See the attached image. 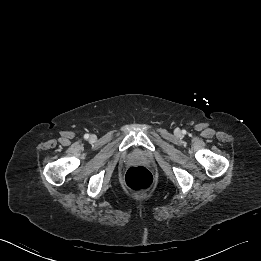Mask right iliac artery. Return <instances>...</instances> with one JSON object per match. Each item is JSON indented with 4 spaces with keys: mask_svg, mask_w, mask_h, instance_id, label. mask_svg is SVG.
<instances>
[{
    "mask_svg": "<svg viewBox=\"0 0 261 261\" xmlns=\"http://www.w3.org/2000/svg\"><path fill=\"white\" fill-rule=\"evenodd\" d=\"M84 138H85V139H88V138H89V134H85V135H84Z\"/></svg>",
    "mask_w": 261,
    "mask_h": 261,
    "instance_id": "obj_1",
    "label": "right iliac artery"
}]
</instances>
